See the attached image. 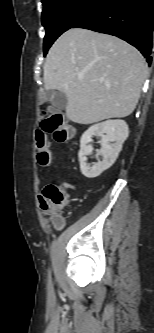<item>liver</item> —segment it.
Listing matches in <instances>:
<instances>
[{
	"label": "liver",
	"mask_w": 154,
	"mask_h": 333,
	"mask_svg": "<svg viewBox=\"0 0 154 333\" xmlns=\"http://www.w3.org/2000/svg\"><path fill=\"white\" fill-rule=\"evenodd\" d=\"M44 88L64 92L66 116L78 124L129 116L147 77L142 54L118 37L74 28L50 48Z\"/></svg>",
	"instance_id": "liver-1"
}]
</instances>
